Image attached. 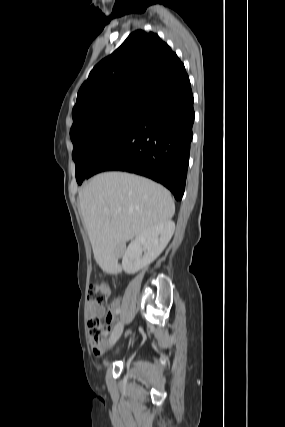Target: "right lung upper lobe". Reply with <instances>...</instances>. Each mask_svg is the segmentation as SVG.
I'll list each match as a JSON object with an SVG mask.
<instances>
[{"label":"right lung upper lobe","instance_id":"1","mask_svg":"<svg viewBox=\"0 0 285 427\" xmlns=\"http://www.w3.org/2000/svg\"><path fill=\"white\" fill-rule=\"evenodd\" d=\"M184 72L178 56L156 33H131L82 84L72 111L70 134L124 107L143 105L156 89Z\"/></svg>","mask_w":285,"mask_h":427}]
</instances>
